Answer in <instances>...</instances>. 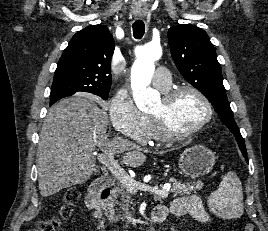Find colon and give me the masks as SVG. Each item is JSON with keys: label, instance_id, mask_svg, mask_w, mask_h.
Here are the masks:
<instances>
[{"label": "colon", "instance_id": "5ec220e1", "mask_svg": "<svg viewBox=\"0 0 268 231\" xmlns=\"http://www.w3.org/2000/svg\"><path fill=\"white\" fill-rule=\"evenodd\" d=\"M78 199V193L76 190L71 189L65 194V205L59 208V215L65 217L69 214V205L76 202ZM59 225V219L57 217H49L39 220L36 224L35 231H57ZM245 231H256L255 226L251 223L245 226Z\"/></svg>", "mask_w": 268, "mask_h": 231}]
</instances>
